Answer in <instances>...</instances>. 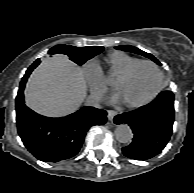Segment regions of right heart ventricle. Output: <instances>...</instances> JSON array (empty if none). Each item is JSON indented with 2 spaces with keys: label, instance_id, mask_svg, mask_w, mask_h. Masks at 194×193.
<instances>
[{
  "label": "right heart ventricle",
  "instance_id": "right-heart-ventricle-1",
  "mask_svg": "<svg viewBox=\"0 0 194 193\" xmlns=\"http://www.w3.org/2000/svg\"><path fill=\"white\" fill-rule=\"evenodd\" d=\"M106 61L108 64V75L112 77L114 81H116V79L122 73H124L128 68H130L135 63L141 61V59L131 56L125 52L116 51V52L111 53L107 57ZM100 71L102 72L101 69Z\"/></svg>",
  "mask_w": 194,
  "mask_h": 193
}]
</instances>
